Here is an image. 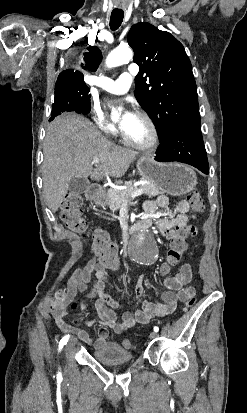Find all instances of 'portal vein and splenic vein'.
<instances>
[{
    "label": "portal vein and splenic vein",
    "instance_id": "obj_1",
    "mask_svg": "<svg viewBox=\"0 0 247 413\" xmlns=\"http://www.w3.org/2000/svg\"><path fill=\"white\" fill-rule=\"evenodd\" d=\"M92 162L93 164H99L100 158H92ZM122 188H119V190H122ZM143 192L144 190H141V188H137V190H134V192H131L130 196H132V198H135V196H140V194H143Z\"/></svg>",
    "mask_w": 247,
    "mask_h": 413
}]
</instances>
